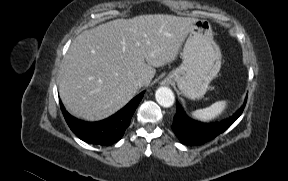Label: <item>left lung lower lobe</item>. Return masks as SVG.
Masks as SVG:
<instances>
[{
	"label": "left lung lower lobe",
	"instance_id": "left-lung-lower-lobe-1",
	"mask_svg": "<svg viewBox=\"0 0 288 181\" xmlns=\"http://www.w3.org/2000/svg\"><path fill=\"white\" fill-rule=\"evenodd\" d=\"M243 106L230 118L216 123H202L189 118L177 104V111L171 126L181 143L189 146L202 145L227 130L241 115Z\"/></svg>",
	"mask_w": 288,
	"mask_h": 181
}]
</instances>
